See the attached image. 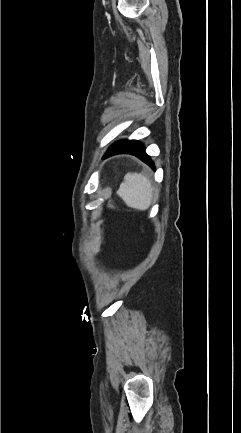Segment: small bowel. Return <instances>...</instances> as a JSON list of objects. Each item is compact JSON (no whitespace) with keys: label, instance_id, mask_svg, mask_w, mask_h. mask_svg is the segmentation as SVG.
Listing matches in <instances>:
<instances>
[{"label":"small bowel","instance_id":"small-bowel-1","mask_svg":"<svg viewBox=\"0 0 241 433\" xmlns=\"http://www.w3.org/2000/svg\"><path fill=\"white\" fill-rule=\"evenodd\" d=\"M94 250L97 251L98 250V246L94 245Z\"/></svg>","mask_w":241,"mask_h":433}]
</instances>
